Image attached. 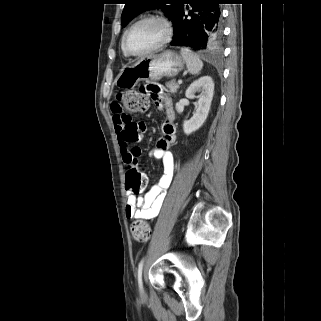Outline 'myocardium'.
I'll use <instances>...</instances> for the list:
<instances>
[{
    "label": "myocardium",
    "mask_w": 321,
    "mask_h": 321,
    "mask_svg": "<svg viewBox=\"0 0 321 321\" xmlns=\"http://www.w3.org/2000/svg\"><path fill=\"white\" fill-rule=\"evenodd\" d=\"M145 21L158 22L162 26L163 36L158 43H156L154 46L148 48L147 50L139 52V53H132L127 48V44H126L127 36L129 34V32L135 26H137L138 24L145 22ZM172 37H173V28H172L170 22L164 16L159 15V14H146V15H143L142 17H140L139 19H137L136 21H134L126 29V31L124 32L123 37H122V49L127 56L142 57V56L153 53V52L158 51L159 49L163 48L165 45H167L172 40Z\"/></svg>",
    "instance_id": "1"
}]
</instances>
